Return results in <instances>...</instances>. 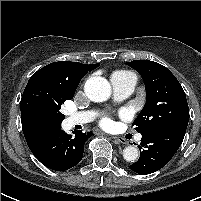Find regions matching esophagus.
I'll list each match as a JSON object with an SVG mask.
<instances>
[{
    "label": "esophagus",
    "instance_id": "34e87169",
    "mask_svg": "<svg viewBox=\"0 0 201 201\" xmlns=\"http://www.w3.org/2000/svg\"><path fill=\"white\" fill-rule=\"evenodd\" d=\"M112 138L118 143H122V144H127L128 143L127 140L124 139L123 137L116 136V137H112Z\"/></svg>",
    "mask_w": 201,
    "mask_h": 201
}]
</instances>
